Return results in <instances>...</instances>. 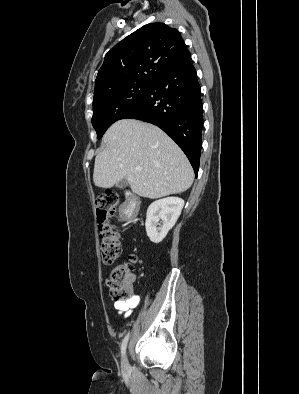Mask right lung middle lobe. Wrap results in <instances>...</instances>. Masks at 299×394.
<instances>
[{
  "label": "right lung middle lobe",
  "mask_w": 299,
  "mask_h": 394,
  "mask_svg": "<svg viewBox=\"0 0 299 394\" xmlns=\"http://www.w3.org/2000/svg\"><path fill=\"white\" fill-rule=\"evenodd\" d=\"M151 83H128L94 95L92 125L97 138L117 120L134 107Z\"/></svg>",
  "instance_id": "obj_1"
}]
</instances>
